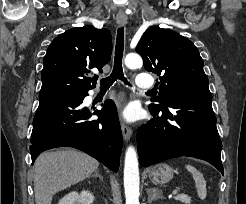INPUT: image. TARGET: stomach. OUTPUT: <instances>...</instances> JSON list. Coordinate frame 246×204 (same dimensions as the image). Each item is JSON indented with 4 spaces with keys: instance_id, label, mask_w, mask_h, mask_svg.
<instances>
[{
    "instance_id": "obj_1",
    "label": "stomach",
    "mask_w": 246,
    "mask_h": 204,
    "mask_svg": "<svg viewBox=\"0 0 246 204\" xmlns=\"http://www.w3.org/2000/svg\"><path fill=\"white\" fill-rule=\"evenodd\" d=\"M148 177L154 184H165L173 178V169L167 164H158L148 171Z\"/></svg>"
}]
</instances>
